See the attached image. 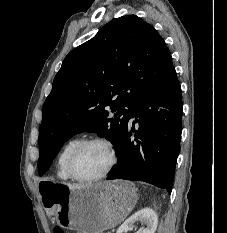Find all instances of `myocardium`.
I'll use <instances>...</instances> for the list:
<instances>
[{
	"mask_svg": "<svg viewBox=\"0 0 227 233\" xmlns=\"http://www.w3.org/2000/svg\"><path fill=\"white\" fill-rule=\"evenodd\" d=\"M90 144H99L102 145L108 152L109 162L107 167L98 175L91 176V177H79L73 171V159L75 155L81 150L83 147L90 145ZM117 162L116 151L113 144L108 141L107 139L100 138V137H92L87 138L84 140L79 141L69 152L67 159H66V169L69 177L72 180L78 182H94L105 178L114 168Z\"/></svg>",
	"mask_w": 227,
	"mask_h": 233,
	"instance_id": "myocardium-1",
	"label": "myocardium"
}]
</instances>
